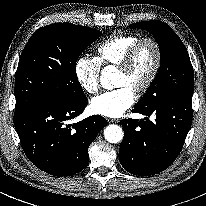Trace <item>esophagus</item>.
<instances>
[{"label":"esophagus","instance_id":"1","mask_svg":"<svg viewBox=\"0 0 206 206\" xmlns=\"http://www.w3.org/2000/svg\"><path fill=\"white\" fill-rule=\"evenodd\" d=\"M108 121L111 122V123H113V122L118 123L120 120L119 119L108 118Z\"/></svg>","mask_w":206,"mask_h":206}]
</instances>
